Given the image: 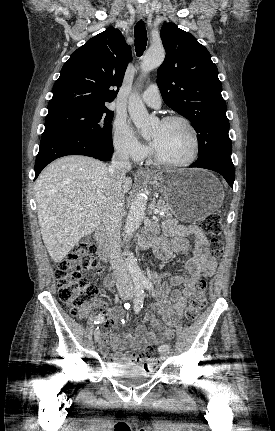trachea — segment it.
Returning a JSON list of instances; mask_svg holds the SVG:
<instances>
[{"mask_svg":"<svg viewBox=\"0 0 275 431\" xmlns=\"http://www.w3.org/2000/svg\"><path fill=\"white\" fill-rule=\"evenodd\" d=\"M135 51L138 57L142 56L147 45V31L143 20H139L134 29Z\"/></svg>","mask_w":275,"mask_h":431,"instance_id":"3493384b","label":"trachea"}]
</instances>
